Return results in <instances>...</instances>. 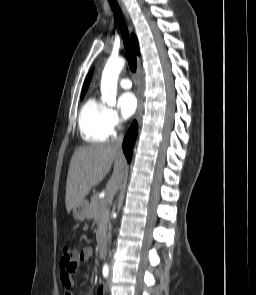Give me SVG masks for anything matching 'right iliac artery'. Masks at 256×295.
<instances>
[{"label":"right iliac artery","instance_id":"82829eb1","mask_svg":"<svg viewBox=\"0 0 256 295\" xmlns=\"http://www.w3.org/2000/svg\"><path fill=\"white\" fill-rule=\"evenodd\" d=\"M108 274H109V267H108L107 264H105L103 266V276H104V278H107L108 277Z\"/></svg>","mask_w":256,"mask_h":295}]
</instances>
